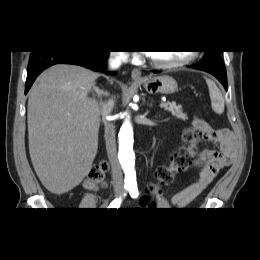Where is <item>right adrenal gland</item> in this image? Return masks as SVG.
Returning <instances> with one entry per match:
<instances>
[{"label":"right adrenal gland","instance_id":"2a0ac1e0","mask_svg":"<svg viewBox=\"0 0 260 260\" xmlns=\"http://www.w3.org/2000/svg\"><path fill=\"white\" fill-rule=\"evenodd\" d=\"M93 89H92V95L93 97H98L101 101L102 96H108V92L104 91L103 89H99V87H97L95 85V83L93 84Z\"/></svg>","mask_w":260,"mask_h":260}]
</instances>
